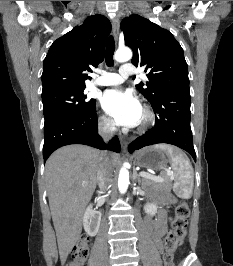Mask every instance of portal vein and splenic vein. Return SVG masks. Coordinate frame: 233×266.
<instances>
[{
	"instance_id": "1",
	"label": "portal vein and splenic vein",
	"mask_w": 233,
	"mask_h": 266,
	"mask_svg": "<svg viewBox=\"0 0 233 266\" xmlns=\"http://www.w3.org/2000/svg\"><path fill=\"white\" fill-rule=\"evenodd\" d=\"M167 175H172V172L170 170H167ZM139 176L151 179V180L156 181V182L164 181V178H162L160 176H155V175H152V174H149V173H146V172H140ZM82 185H85V183H82Z\"/></svg>"
}]
</instances>
